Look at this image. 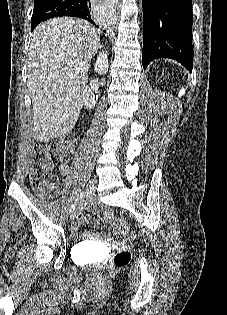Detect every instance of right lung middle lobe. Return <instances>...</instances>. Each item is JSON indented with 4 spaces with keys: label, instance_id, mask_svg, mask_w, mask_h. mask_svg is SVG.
<instances>
[{
    "label": "right lung middle lobe",
    "instance_id": "right-lung-middle-lobe-1",
    "mask_svg": "<svg viewBox=\"0 0 227 315\" xmlns=\"http://www.w3.org/2000/svg\"><path fill=\"white\" fill-rule=\"evenodd\" d=\"M74 1L75 0H34V9L31 18L32 31L40 22L58 17L56 11L71 6Z\"/></svg>",
    "mask_w": 227,
    "mask_h": 315
}]
</instances>
